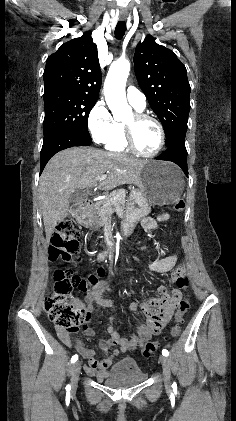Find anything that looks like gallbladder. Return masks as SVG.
Segmentation results:
<instances>
[{
  "label": "gallbladder",
  "mask_w": 236,
  "mask_h": 421,
  "mask_svg": "<svg viewBox=\"0 0 236 421\" xmlns=\"http://www.w3.org/2000/svg\"><path fill=\"white\" fill-rule=\"evenodd\" d=\"M81 198H85V194H82V192H74V194H71L70 196V202H80Z\"/></svg>",
  "instance_id": "1"
}]
</instances>
